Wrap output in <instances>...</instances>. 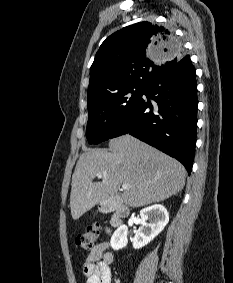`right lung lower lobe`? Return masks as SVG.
I'll use <instances>...</instances> for the list:
<instances>
[{"instance_id":"1","label":"right lung lower lobe","mask_w":233,"mask_h":283,"mask_svg":"<svg viewBox=\"0 0 233 283\" xmlns=\"http://www.w3.org/2000/svg\"><path fill=\"white\" fill-rule=\"evenodd\" d=\"M143 94L155 103L141 97L111 138L129 133L179 160L190 175L198 105L196 72L190 57L184 56L158 75Z\"/></svg>"}]
</instances>
